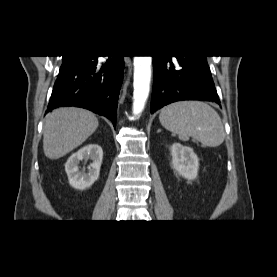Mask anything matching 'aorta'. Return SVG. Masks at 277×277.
I'll use <instances>...</instances> for the list:
<instances>
[{"label":"aorta","instance_id":"obj_1","mask_svg":"<svg viewBox=\"0 0 277 277\" xmlns=\"http://www.w3.org/2000/svg\"><path fill=\"white\" fill-rule=\"evenodd\" d=\"M151 56H134L133 113L143 111L150 92Z\"/></svg>","mask_w":277,"mask_h":277}]
</instances>
